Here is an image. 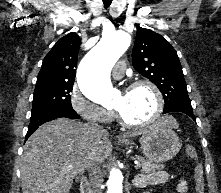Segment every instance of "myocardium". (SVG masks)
I'll list each match as a JSON object with an SVG mask.
<instances>
[{
  "instance_id": "myocardium-1",
  "label": "myocardium",
  "mask_w": 221,
  "mask_h": 193,
  "mask_svg": "<svg viewBox=\"0 0 221 193\" xmlns=\"http://www.w3.org/2000/svg\"><path fill=\"white\" fill-rule=\"evenodd\" d=\"M139 87H148L149 89H151V91L153 92L154 96H155V100H156V107L154 110V113L152 114V116L143 122H131L128 121L123 114L121 113V111L117 108H115V112H116V116L118 118V121L125 127L128 128H145L148 127L152 124H154L159 117L162 114L163 111V107H164V99H163V95L161 90L158 88V86L156 84H154L152 81L150 80H137L135 82H133L127 90H132V89H137Z\"/></svg>"
}]
</instances>
